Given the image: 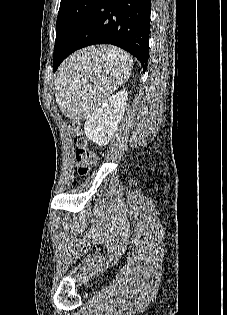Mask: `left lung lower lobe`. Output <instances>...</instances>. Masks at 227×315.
<instances>
[{"mask_svg": "<svg viewBox=\"0 0 227 315\" xmlns=\"http://www.w3.org/2000/svg\"><path fill=\"white\" fill-rule=\"evenodd\" d=\"M151 0H101L63 51L53 56L56 71L74 51L95 44H112L133 56L146 70Z\"/></svg>", "mask_w": 227, "mask_h": 315, "instance_id": "1", "label": "left lung lower lobe"}]
</instances>
